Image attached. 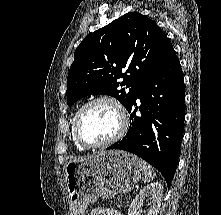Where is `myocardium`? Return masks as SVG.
Returning a JSON list of instances; mask_svg holds the SVG:
<instances>
[{
    "mask_svg": "<svg viewBox=\"0 0 221 215\" xmlns=\"http://www.w3.org/2000/svg\"><path fill=\"white\" fill-rule=\"evenodd\" d=\"M98 102H108L116 108L118 115L120 117V125H119L117 132L108 140H105L99 143H90L86 141L80 133V121H81V117L84 111L92 104H95ZM128 125H129V119H128L127 112L125 108L123 107V105L116 98L112 96L101 95V96H97L88 100L77 110L74 116V121H73V133H74V137L77 143L81 145L82 147L87 148V149L103 148L120 140L126 133L128 129Z\"/></svg>",
    "mask_w": 221,
    "mask_h": 215,
    "instance_id": "1",
    "label": "myocardium"
}]
</instances>
